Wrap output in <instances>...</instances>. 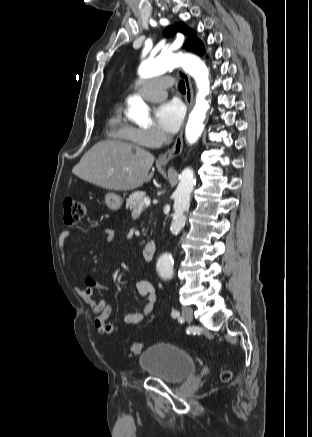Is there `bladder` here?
Listing matches in <instances>:
<instances>
[{"instance_id":"bladder-1","label":"bladder","mask_w":312,"mask_h":437,"mask_svg":"<svg viewBox=\"0 0 312 437\" xmlns=\"http://www.w3.org/2000/svg\"><path fill=\"white\" fill-rule=\"evenodd\" d=\"M141 370L152 378L178 384L193 376L195 360L181 348L166 342L149 346L139 356Z\"/></svg>"}]
</instances>
